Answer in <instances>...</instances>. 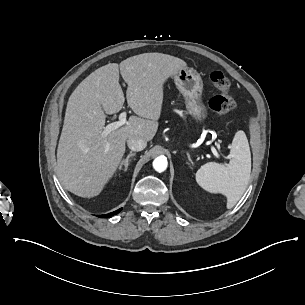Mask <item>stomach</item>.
<instances>
[{
  "label": "stomach",
  "instance_id": "1",
  "mask_svg": "<svg viewBox=\"0 0 305 305\" xmlns=\"http://www.w3.org/2000/svg\"><path fill=\"white\" fill-rule=\"evenodd\" d=\"M177 89L185 98L190 114L197 120L206 117V108L201 101L203 81L200 74L193 68L184 67L174 75Z\"/></svg>",
  "mask_w": 305,
  "mask_h": 305
}]
</instances>
